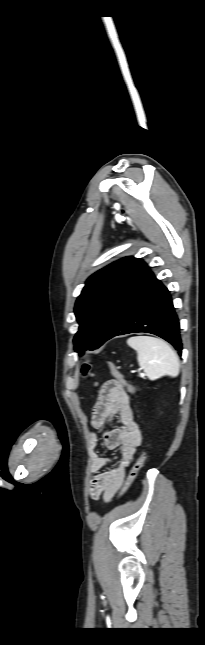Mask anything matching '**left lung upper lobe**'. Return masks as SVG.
Instances as JSON below:
<instances>
[{
  "label": "left lung upper lobe",
  "mask_w": 205,
  "mask_h": 645,
  "mask_svg": "<svg viewBox=\"0 0 205 645\" xmlns=\"http://www.w3.org/2000/svg\"><path fill=\"white\" fill-rule=\"evenodd\" d=\"M137 261L134 257L122 258L97 271L86 281L74 311L79 323L74 337L77 352L82 354L103 344L117 297Z\"/></svg>",
  "instance_id": "5c2ea615"
}]
</instances>
